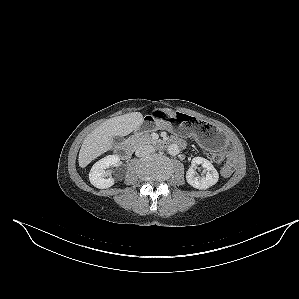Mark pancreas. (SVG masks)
<instances>
[{
	"label": "pancreas",
	"instance_id": "1",
	"mask_svg": "<svg viewBox=\"0 0 299 299\" xmlns=\"http://www.w3.org/2000/svg\"><path fill=\"white\" fill-rule=\"evenodd\" d=\"M128 141L134 146H139L141 144H150L153 142L152 138L148 134H144V135L135 134L131 136L128 139Z\"/></svg>",
	"mask_w": 299,
	"mask_h": 299
}]
</instances>
